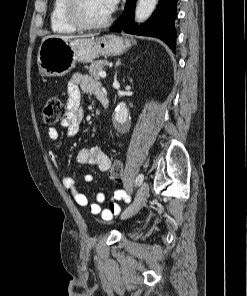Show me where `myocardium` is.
Returning <instances> with one entry per match:
<instances>
[{
  "instance_id": "myocardium-1",
  "label": "myocardium",
  "mask_w": 247,
  "mask_h": 296,
  "mask_svg": "<svg viewBox=\"0 0 247 296\" xmlns=\"http://www.w3.org/2000/svg\"><path fill=\"white\" fill-rule=\"evenodd\" d=\"M83 0H67L65 7V16L68 22L79 30H97L110 25L112 15L110 14L104 21L99 23H88L81 16V7Z\"/></svg>"
}]
</instances>
